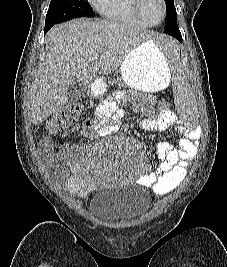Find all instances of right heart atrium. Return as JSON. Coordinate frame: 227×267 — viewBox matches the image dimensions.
<instances>
[{"label": "right heart atrium", "instance_id": "right-heart-atrium-1", "mask_svg": "<svg viewBox=\"0 0 227 267\" xmlns=\"http://www.w3.org/2000/svg\"><path fill=\"white\" fill-rule=\"evenodd\" d=\"M91 4L97 8V6L102 2V0H89Z\"/></svg>", "mask_w": 227, "mask_h": 267}]
</instances>
